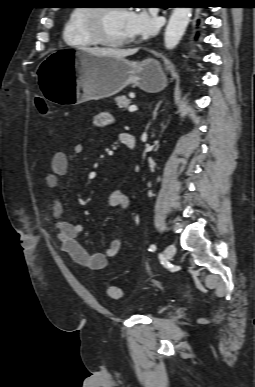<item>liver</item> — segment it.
<instances>
[{
	"label": "liver",
	"instance_id": "liver-1",
	"mask_svg": "<svg viewBox=\"0 0 255 387\" xmlns=\"http://www.w3.org/2000/svg\"><path fill=\"white\" fill-rule=\"evenodd\" d=\"M83 51L92 53L97 56H107L115 58H125L130 55H134L138 50L137 49H114V48H82Z\"/></svg>",
	"mask_w": 255,
	"mask_h": 387
}]
</instances>
